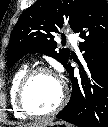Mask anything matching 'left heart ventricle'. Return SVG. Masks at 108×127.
I'll return each mask as SVG.
<instances>
[{
	"label": "left heart ventricle",
	"instance_id": "obj_1",
	"mask_svg": "<svg viewBox=\"0 0 108 127\" xmlns=\"http://www.w3.org/2000/svg\"><path fill=\"white\" fill-rule=\"evenodd\" d=\"M61 96L59 80L51 74H38L31 81L26 102L30 109L36 112H47L54 108Z\"/></svg>",
	"mask_w": 108,
	"mask_h": 127
}]
</instances>
